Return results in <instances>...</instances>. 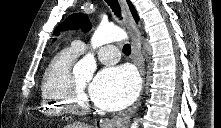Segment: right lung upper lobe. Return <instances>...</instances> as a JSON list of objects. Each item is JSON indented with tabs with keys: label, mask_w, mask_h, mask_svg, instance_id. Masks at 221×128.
Instances as JSON below:
<instances>
[{
	"label": "right lung upper lobe",
	"mask_w": 221,
	"mask_h": 128,
	"mask_svg": "<svg viewBox=\"0 0 221 128\" xmlns=\"http://www.w3.org/2000/svg\"><path fill=\"white\" fill-rule=\"evenodd\" d=\"M127 2L129 4L130 10H131V12H132V14L134 16V19L137 21L138 18H137L136 11H135L133 5L131 4V2L129 0H127Z\"/></svg>",
	"instance_id": "right-lung-upper-lobe-1"
}]
</instances>
